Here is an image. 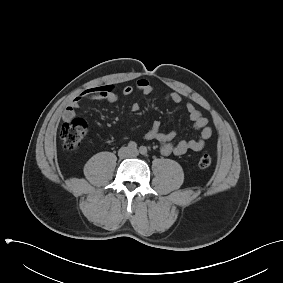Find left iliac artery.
Here are the masks:
<instances>
[{
    "instance_id": "1",
    "label": "left iliac artery",
    "mask_w": 283,
    "mask_h": 283,
    "mask_svg": "<svg viewBox=\"0 0 283 283\" xmlns=\"http://www.w3.org/2000/svg\"><path fill=\"white\" fill-rule=\"evenodd\" d=\"M139 151H140V153H141L142 155H147V153H148V150H147V148H146L145 146H141V147L139 148Z\"/></svg>"
}]
</instances>
